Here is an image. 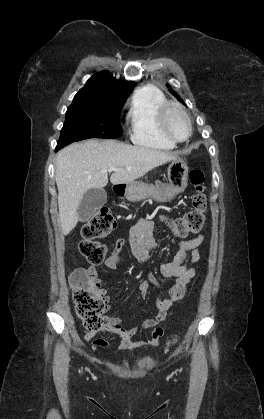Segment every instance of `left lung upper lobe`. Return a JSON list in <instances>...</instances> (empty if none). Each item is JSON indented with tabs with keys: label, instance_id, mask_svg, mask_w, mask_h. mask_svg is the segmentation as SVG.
Instances as JSON below:
<instances>
[{
	"label": "left lung upper lobe",
	"instance_id": "obj_1",
	"mask_svg": "<svg viewBox=\"0 0 264 419\" xmlns=\"http://www.w3.org/2000/svg\"><path fill=\"white\" fill-rule=\"evenodd\" d=\"M174 95L177 96L176 93H174ZM178 100L181 101V102H183L180 97H178Z\"/></svg>",
	"mask_w": 264,
	"mask_h": 419
}]
</instances>
